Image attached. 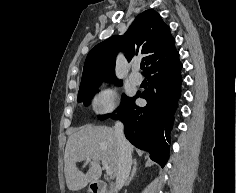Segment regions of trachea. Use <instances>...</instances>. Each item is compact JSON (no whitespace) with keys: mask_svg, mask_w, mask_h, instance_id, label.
Segmentation results:
<instances>
[{"mask_svg":"<svg viewBox=\"0 0 237 193\" xmlns=\"http://www.w3.org/2000/svg\"><path fill=\"white\" fill-rule=\"evenodd\" d=\"M144 67H145V64H144V63H141V66H140V68L143 70V69H144Z\"/></svg>","mask_w":237,"mask_h":193,"instance_id":"3493384b","label":"trachea"}]
</instances>
